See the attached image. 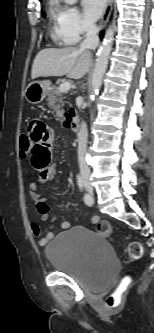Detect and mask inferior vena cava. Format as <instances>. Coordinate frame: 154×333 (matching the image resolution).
Wrapping results in <instances>:
<instances>
[{
	"mask_svg": "<svg viewBox=\"0 0 154 333\" xmlns=\"http://www.w3.org/2000/svg\"><path fill=\"white\" fill-rule=\"evenodd\" d=\"M85 31L86 37L80 44V50L91 49L95 50L98 46V36H97V26L94 23L87 22L85 23ZM87 141H88V131L87 125L85 122L81 123L80 131L78 133V160H79V168L81 174H89L90 168L88 167L85 154L87 149Z\"/></svg>",
	"mask_w": 154,
	"mask_h": 333,
	"instance_id": "1",
	"label": "inferior vena cava"
}]
</instances>
